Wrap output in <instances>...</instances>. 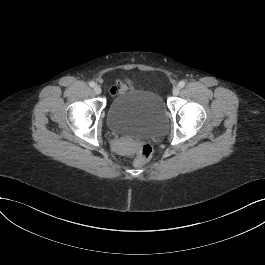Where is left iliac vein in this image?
<instances>
[{
    "instance_id": "left-iliac-vein-1",
    "label": "left iliac vein",
    "mask_w": 265,
    "mask_h": 265,
    "mask_svg": "<svg viewBox=\"0 0 265 265\" xmlns=\"http://www.w3.org/2000/svg\"><path fill=\"white\" fill-rule=\"evenodd\" d=\"M180 93V88L178 86L174 87L172 90V94L177 96Z\"/></svg>"
}]
</instances>
